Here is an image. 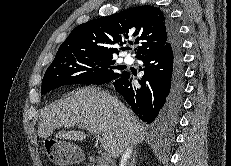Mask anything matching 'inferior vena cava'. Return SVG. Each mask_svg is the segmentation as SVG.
Wrapping results in <instances>:
<instances>
[{"instance_id": "obj_1", "label": "inferior vena cava", "mask_w": 231, "mask_h": 166, "mask_svg": "<svg viewBox=\"0 0 231 166\" xmlns=\"http://www.w3.org/2000/svg\"><path fill=\"white\" fill-rule=\"evenodd\" d=\"M132 154V146L127 147L121 156L119 166H127L128 160Z\"/></svg>"}]
</instances>
